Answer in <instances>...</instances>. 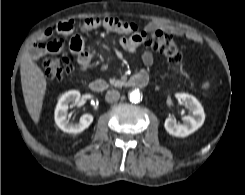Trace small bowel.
<instances>
[{
    "instance_id": "obj_1",
    "label": "small bowel",
    "mask_w": 245,
    "mask_h": 195,
    "mask_svg": "<svg viewBox=\"0 0 245 195\" xmlns=\"http://www.w3.org/2000/svg\"><path fill=\"white\" fill-rule=\"evenodd\" d=\"M83 27L89 31L104 29L118 34L122 47L133 53L138 51L139 47L148 36L154 37L156 32L161 31L169 32L177 36H184L196 44L204 43L203 37L195 31L185 30L181 27L158 22H151L143 29H139L135 24L116 17H101L85 19ZM56 31L61 35H70L73 32V24L69 21L61 22L57 25ZM52 34V29H46L39 39L32 44L30 55L33 59H39L47 53L56 54L63 50L65 41L62 38L53 39L45 44V41L50 39ZM69 48L77 55L80 70L86 72L97 55L84 49L83 39L79 35H74L70 39ZM141 57L146 66H152L155 62L154 55L147 49L141 51ZM103 69H107L106 64L103 65ZM208 88L209 83H204L203 89L207 90Z\"/></svg>"
}]
</instances>
